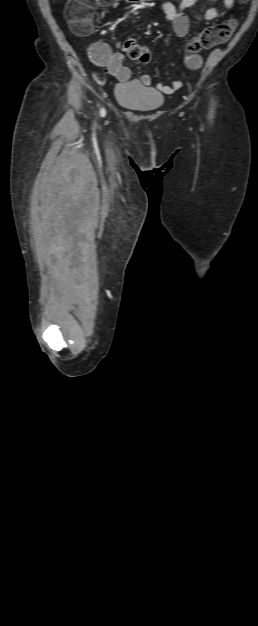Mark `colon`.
<instances>
[{
  "instance_id": "obj_1",
  "label": "colon",
  "mask_w": 258,
  "mask_h": 626,
  "mask_svg": "<svg viewBox=\"0 0 258 626\" xmlns=\"http://www.w3.org/2000/svg\"><path fill=\"white\" fill-rule=\"evenodd\" d=\"M243 2L247 0H242ZM110 0H66V16L71 30L77 35H87L92 30V10L96 5H107ZM236 26L234 19L213 25L202 30L187 45L186 55H193L201 48H210L225 43ZM124 50L130 59L141 63L150 61L149 49L137 44L133 39L124 43Z\"/></svg>"
}]
</instances>
